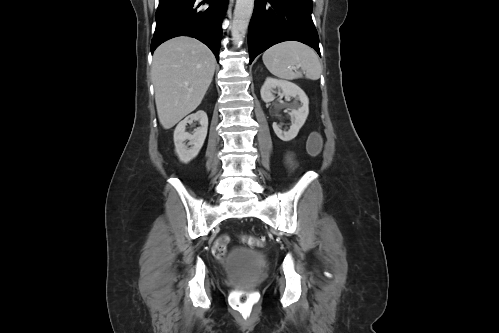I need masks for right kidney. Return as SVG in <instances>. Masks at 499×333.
Listing matches in <instances>:
<instances>
[{
  "label": "right kidney",
  "instance_id": "right-kidney-1",
  "mask_svg": "<svg viewBox=\"0 0 499 333\" xmlns=\"http://www.w3.org/2000/svg\"><path fill=\"white\" fill-rule=\"evenodd\" d=\"M193 121H199L201 126L193 134H190L185 131V128L187 124H191ZM207 128L208 117L202 110L187 116L177 125L174 131V144L175 152L181 162L188 163L198 155L204 144ZM186 140L190 141L187 145L185 144ZM188 146L191 147L188 148Z\"/></svg>",
  "mask_w": 499,
  "mask_h": 333
}]
</instances>
